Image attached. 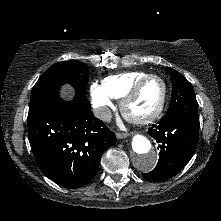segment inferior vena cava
Here are the masks:
<instances>
[{
	"label": "inferior vena cava",
	"mask_w": 221,
	"mask_h": 221,
	"mask_svg": "<svg viewBox=\"0 0 221 221\" xmlns=\"http://www.w3.org/2000/svg\"><path fill=\"white\" fill-rule=\"evenodd\" d=\"M94 115L105 121V122H110L111 121V118H112V113H111V110L108 108V107H99V108H96L94 110Z\"/></svg>",
	"instance_id": "obj_1"
}]
</instances>
